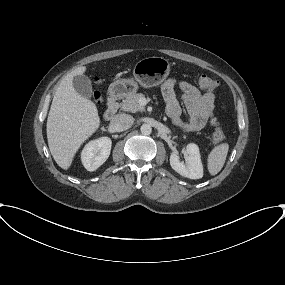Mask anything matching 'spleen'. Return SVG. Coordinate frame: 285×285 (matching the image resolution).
<instances>
[{
    "label": "spleen",
    "instance_id": "1",
    "mask_svg": "<svg viewBox=\"0 0 285 285\" xmlns=\"http://www.w3.org/2000/svg\"><path fill=\"white\" fill-rule=\"evenodd\" d=\"M229 151L228 143L215 146L208 155L207 168L212 176L218 174L224 166Z\"/></svg>",
    "mask_w": 285,
    "mask_h": 285
}]
</instances>
